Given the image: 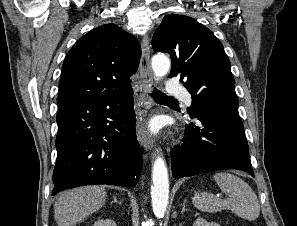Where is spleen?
<instances>
[{"instance_id":"3e777b00","label":"spleen","mask_w":297,"mask_h":226,"mask_svg":"<svg viewBox=\"0 0 297 226\" xmlns=\"http://www.w3.org/2000/svg\"><path fill=\"white\" fill-rule=\"evenodd\" d=\"M221 191L230 194L227 199H219L211 193H198L193 197L194 206L207 213H215L224 209L231 210L242 219L255 220L260 214L257 195L240 177L227 172L216 173L213 176Z\"/></svg>"}]
</instances>
